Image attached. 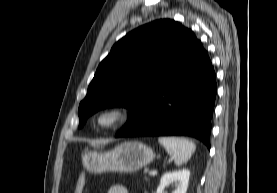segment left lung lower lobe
<instances>
[{"label":"left lung lower lobe","mask_w":277,"mask_h":193,"mask_svg":"<svg viewBox=\"0 0 277 193\" xmlns=\"http://www.w3.org/2000/svg\"><path fill=\"white\" fill-rule=\"evenodd\" d=\"M215 72L197 41L187 60L115 137L191 136L210 148Z\"/></svg>","instance_id":"0a47b994"}]
</instances>
